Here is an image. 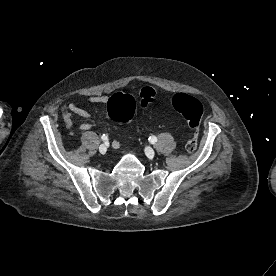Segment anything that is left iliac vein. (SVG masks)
Returning <instances> with one entry per match:
<instances>
[{"instance_id":"1","label":"left iliac vein","mask_w":276,"mask_h":276,"mask_svg":"<svg viewBox=\"0 0 276 276\" xmlns=\"http://www.w3.org/2000/svg\"><path fill=\"white\" fill-rule=\"evenodd\" d=\"M145 153L149 158H153L155 156V151L151 147H146Z\"/></svg>"}]
</instances>
